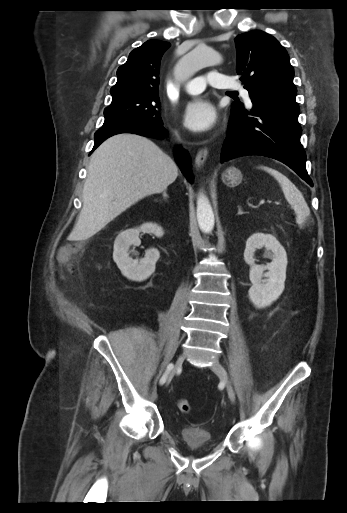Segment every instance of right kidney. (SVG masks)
<instances>
[{
    "label": "right kidney",
    "instance_id": "ca27d5eb",
    "mask_svg": "<svg viewBox=\"0 0 347 513\" xmlns=\"http://www.w3.org/2000/svg\"><path fill=\"white\" fill-rule=\"evenodd\" d=\"M140 232L152 233L159 238L164 235V230L161 226L150 222L142 224L139 228L121 232L114 242L113 260L122 274L133 281L147 279L155 271V264L160 257L159 251L155 248L148 249L145 257L140 261L130 257V246H138L141 243L139 239Z\"/></svg>",
    "mask_w": 347,
    "mask_h": 513
}]
</instances>
